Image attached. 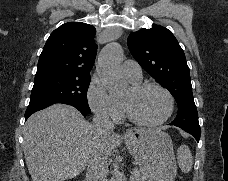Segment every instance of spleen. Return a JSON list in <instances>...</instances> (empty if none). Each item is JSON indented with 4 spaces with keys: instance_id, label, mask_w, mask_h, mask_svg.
<instances>
[{
    "instance_id": "spleen-1",
    "label": "spleen",
    "mask_w": 228,
    "mask_h": 181,
    "mask_svg": "<svg viewBox=\"0 0 228 181\" xmlns=\"http://www.w3.org/2000/svg\"><path fill=\"white\" fill-rule=\"evenodd\" d=\"M177 159L182 173H189L192 169L193 157L187 145H181V147H179Z\"/></svg>"
}]
</instances>
